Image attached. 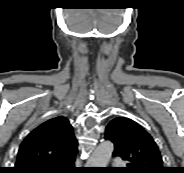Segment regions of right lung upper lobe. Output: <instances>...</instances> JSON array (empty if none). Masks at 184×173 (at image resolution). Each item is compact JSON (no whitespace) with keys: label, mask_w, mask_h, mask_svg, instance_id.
I'll use <instances>...</instances> for the list:
<instances>
[{"label":"right lung upper lobe","mask_w":184,"mask_h":173,"mask_svg":"<svg viewBox=\"0 0 184 173\" xmlns=\"http://www.w3.org/2000/svg\"><path fill=\"white\" fill-rule=\"evenodd\" d=\"M78 142L68 119L58 116L34 129L22 142L15 173L45 171L69 160L78 152Z\"/></svg>","instance_id":"obj_1"}]
</instances>
